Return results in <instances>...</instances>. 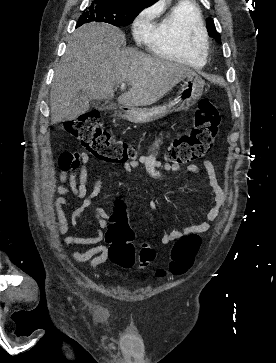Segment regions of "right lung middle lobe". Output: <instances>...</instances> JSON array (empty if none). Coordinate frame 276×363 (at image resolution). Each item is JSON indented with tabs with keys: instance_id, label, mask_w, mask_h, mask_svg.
<instances>
[{
	"instance_id": "dd1d6c3e",
	"label": "right lung middle lobe",
	"mask_w": 276,
	"mask_h": 363,
	"mask_svg": "<svg viewBox=\"0 0 276 363\" xmlns=\"http://www.w3.org/2000/svg\"><path fill=\"white\" fill-rule=\"evenodd\" d=\"M144 7L145 5L142 4L94 0L81 14L76 27L89 22H105L118 27L127 26Z\"/></svg>"
}]
</instances>
